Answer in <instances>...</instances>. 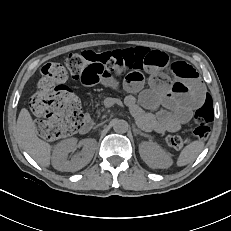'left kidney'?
I'll return each instance as SVG.
<instances>
[{"label":"left kidney","mask_w":231,"mask_h":231,"mask_svg":"<svg viewBox=\"0 0 231 231\" xmlns=\"http://www.w3.org/2000/svg\"><path fill=\"white\" fill-rule=\"evenodd\" d=\"M139 153L143 161L153 169H166L172 165L169 152L159 144L151 141H144L139 145Z\"/></svg>","instance_id":"left-kidney-1"}]
</instances>
